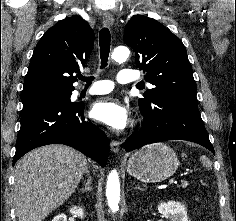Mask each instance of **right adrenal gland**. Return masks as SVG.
Instances as JSON below:
<instances>
[{
    "instance_id": "1",
    "label": "right adrenal gland",
    "mask_w": 236,
    "mask_h": 221,
    "mask_svg": "<svg viewBox=\"0 0 236 221\" xmlns=\"http://www.w3.org/2000/svg\"><path fill=\"white\" fill-rule=\"evenodd\" d=\"M91 184H92L91 177H88V179L85 183V186L83 188H81L80 191L82 193L88 192V191L90 192L92 190Z\"/></svg>"
}]
</instances>
